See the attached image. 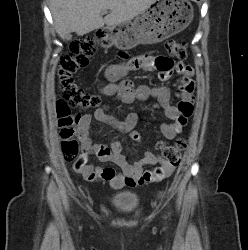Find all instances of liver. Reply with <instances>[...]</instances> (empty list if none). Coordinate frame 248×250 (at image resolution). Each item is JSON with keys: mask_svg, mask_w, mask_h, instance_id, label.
Wrapping results in <instances>:
<instances>
[{"mask_svg": "<svg viewBox=\"0 0 248 250\" xmlns=\"http://www.w3.org/2000/svg\"><path fill=\"white\" fill-rule=\"evenodd\" d=\"M157 0H50L55 29L64 39L75 32L82 36L107 25L131 21ZM110 10L105 18L101 13Z\"/></svg>", "mask_w": 248, "mask_h": 250, "instance_id": "obj_1", "label": "liver"}]
</instances>
